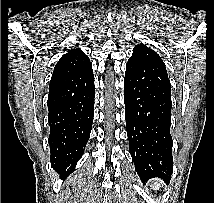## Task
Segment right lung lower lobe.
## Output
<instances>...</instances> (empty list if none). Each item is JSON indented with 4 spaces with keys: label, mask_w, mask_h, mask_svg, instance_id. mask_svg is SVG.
I'll return each instance as SVG.
<instances>
[{
    "label": "right lung lower lobe",
    "mask_w": 214,
    "mask_h": 203,
    "mask_svg": "<svg viewBox=\"0 0 214 203\" xmlns=\"http://www.w3.org/2000/svg\"><path fill=\"white\" fill-rule=\"evenodd\" d=\"M94 75L89 62L51 80L47 106L52 168L69 175L84 152L94 115Z\"/></svg>",
    "instance_id": "98d812e1"
}]
</instances>
